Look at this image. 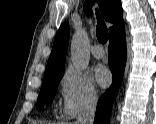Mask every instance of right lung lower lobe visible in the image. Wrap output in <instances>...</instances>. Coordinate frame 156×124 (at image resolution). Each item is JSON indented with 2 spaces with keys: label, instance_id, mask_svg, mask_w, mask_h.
Returning <instances> with one entry per match:
<instances>
[{
  "label": "right lung lower lobe",
  "instance_id": "right-lung-lower-lobe-1",
  "mask_svg": "<svg viewBox=\"0 0 156 124\" xmlns=\"http://www.w3.org/2000/svg\"><path fill=\"white\" fill-rule=\"evenodd\" d=\"M108 53L109 66L113 74V83L99 99L94 124L110 123L111 108L122 82L126 62V40L124 29L119 30L110 36Z\"/></svg>",
  "mask_w": 156,
  "mask_h": 124
}]
</instances>
